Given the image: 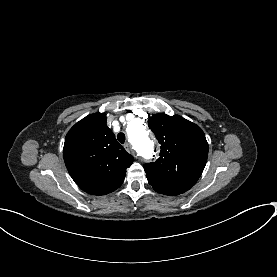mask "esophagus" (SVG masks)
I'll use <instances>...</instances> for the list:
<instances>
[{
    "label": "esophagus",
    "instance_id": "1",
    "mask_svg": "<svg viewBox=\"0 0 277 277\" xmlns=\"http://www.w3.org/2000/svg\"><path fill=\"white\" fill-rule=\"evenodd\" d=\"M124 147H125L126 151L133 152L132 149H131L130 143L126 142ZM134 156H135V154H134Z\"/></svg>",
    "mask_w": 277,
    "mask_h": 277
}]
</instances>
